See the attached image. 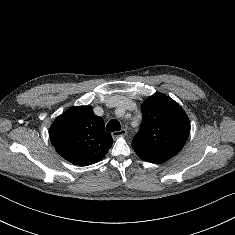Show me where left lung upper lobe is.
Returning a JSON list of instances; mask_svg holds the SVG:
<instances>
[{
  "instance_id": "1",
  "label": "left lung upper lobe",
  "mask_w": 235,
  "mask_h": 235,
  "mask_svg": "<svg viewBox=\"0 0 235 235\" xmlns=\"http://www.w3.org/2000/svg\"><path fill=\"white\" fill-rule=\"evenodd\" d=\"M143 120L132 147L141 159L169 160L184 146L189 118L170 97L155 93L141 106Z\"/></svg>"
}]
</instances>
